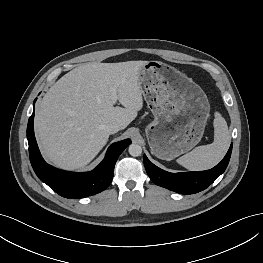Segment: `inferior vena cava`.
<instances>
[{
  "instance_id": "602c4592",
  "label": "inferior vena cava",
  "mask_w": 263,
  "mask_h": 263,
  "mask_svg": "<svg viewBox=\"0 0 263 263\" xmlns=\"http://www.w3.org/2000/svg\"><path fill=\"white\" fill-rule=\"evenodd\" d=\"M105 130L109 134H114L121 130V125L117 122H111L105 126Z\"/></svg>"
}]
</instances>
